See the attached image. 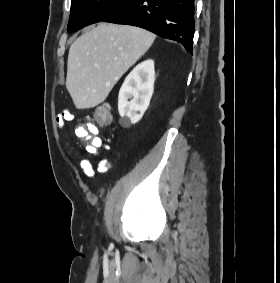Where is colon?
Returning a JSON list of instances; mask_svg holds the SVG:
<instances>
[{
    "label": "colon",
    "instance_id": "obj_1",
    "mask_svg": "<svg viewBox=\"0 0 280 283\" xmlns=\"http://www.w3.org/2000/svg\"><path fill=\"white\" fill-rule=\"evenodd\" d=\"M111 114L112 111L109 110V107H105V106L96 107V120L97 122L102 124L103 127H107L108 124L113 123ZM86 118L90 119L91 115L87 114ZM89 132H98V127H85V125H81L77 128V133L79 136L83 137L88 141H92L95 137H93ZM95 145L96 146L101 145V140L99 138H95Z\"/></svg>",
    "mask_w": 280,
    "mask_h": 283
}]
</instances>
